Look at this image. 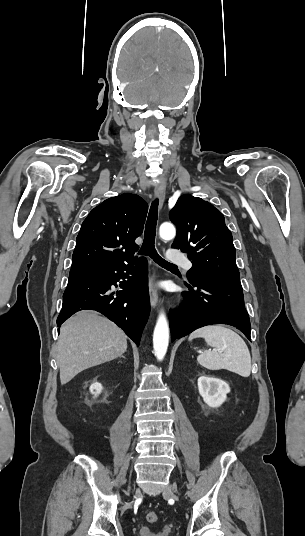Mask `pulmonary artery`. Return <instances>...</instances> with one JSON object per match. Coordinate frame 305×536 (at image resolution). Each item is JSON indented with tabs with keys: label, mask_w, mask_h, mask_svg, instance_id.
<instances>
[{
	"label": "pulmonary artery",
	"mask_w": 305,
	"mask_h": 536,
	"mask_svg": "<svg viewBox=\"0 0 305 536\" xmlns=\"http://www.w3.org/2000/svg\"><path fill=\"white\" fill-rule=\"evenodd\" d=\"M177 250L173 246H170L168 248V252L164 254V257L169 260V262L176 264V263H182V265L186 269L192 268V262L189 260H185V256L183 254H176Z\"/></svg>",
	"instance_id": "obj_1"
}]
</instances>
